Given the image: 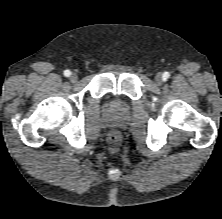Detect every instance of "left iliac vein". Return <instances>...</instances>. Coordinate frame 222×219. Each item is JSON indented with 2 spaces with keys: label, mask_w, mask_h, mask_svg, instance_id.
Instances as JSON below:
<instances>
[{
  "label": "left iliac vein",
  "mask_w": 222,
  "mask_h": 219,
  "mask_svg": "<svg viewBox=\"0 0 222 219\" xmlns=\"http://www.w3.org/2000/svg\"><path fill=\"white\" fill-rule=\"evenodd\" d=\"M155 80L158 84H161L163 82V76L161 73H158L156 76H155Z\"/></svg>",
  "instance_id": "1"
}]
</instances>
